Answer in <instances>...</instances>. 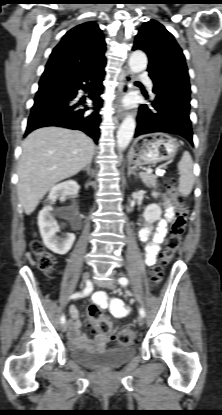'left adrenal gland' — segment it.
I'll use <instances>...</instances> for the list:
<instances>
[{
  "mask_svg": "<svg viewBox=\"0 0 222 415\" xmlns=\"http://www.w3.org/2000/svg\"><path fill=\"white\" fill-rule=\"evenodd\" d=\"M133 174L135 177L137 176L136 172L131 168L130 165H128V176Z\"/></svg>",
  "mask_w": 222,
  "mask_h": 415,
  "instance_id": "1",
  "label": "left adrenal gland"
}]
</instances>
